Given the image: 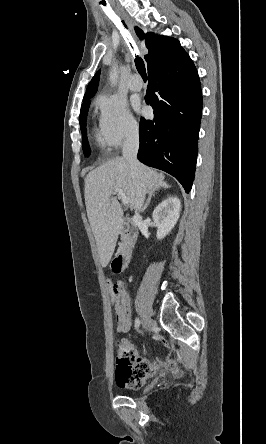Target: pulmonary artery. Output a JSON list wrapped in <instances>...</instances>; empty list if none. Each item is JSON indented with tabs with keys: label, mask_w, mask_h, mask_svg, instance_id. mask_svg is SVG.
Here are the masks:
<instances>
[{
	"label": "pulmonary artery",
	"mask_w": 266,
	"mask_h": 444,
	"mask_svg": "<svg viewBox=\"0 0 266 444\" xmlns=\"http://www.w3.org/2000/svg\"><path fill=\"white\" fill-rule=\"evenodd\" d=\"M132 91H140L143 88V83L139 79L138 74H133L128 84Z\"/></svg>",
	"instance_id": "1"
}]
</instances>
